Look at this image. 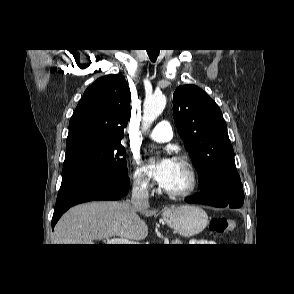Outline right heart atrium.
I'll use <instances>...</instances> for the list:
<instances>
[{
  "instance_id": "1",
  "label": "right heart atrium",
  "mask_w": 294,
  "mask_h": 294,
  "mask_svg": "<svg viewBox=\"0 0 294 294\" xmlns=\"http://www.w3.org/2000/svg\"><path fill=\"white\" fill-rule=\"evenodd\" d=\"M132 184L135 189L145 192L150 189L151 181L143 168L137 161H134V170L132 173Z\"/></svg>"
}]
</instances>
